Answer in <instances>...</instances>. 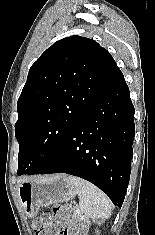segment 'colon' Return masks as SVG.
Wrapping results in <instances>:
<instances>
[{"label":"colon","mask_w":155,"mask_h":235,"mask_svg":"<svg viewBox=\"0 0 155 235\" xmlns=\"http://www.w3.org/2000/svg\"><path fill=\"white\" fill-rule=\"evenodd\" d=\"M55 212L64 220L68 218L69 210L64 206L57 207ZM35 235H87L81 225L71 223L64 231H58L51 216L44 214L34 222Z\"/></svg>","instance_id":"1"}]
</instances>
